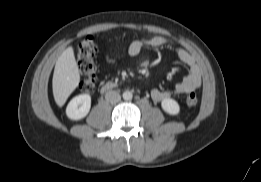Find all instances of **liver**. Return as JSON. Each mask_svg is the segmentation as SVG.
Returning <instances> with one entry per match:
<instances>
[{"label":"liver","mask_w":261,"mask_h":182,"mask_svg":"<svg viewBox=\"0 0 261 182\" xmlns=\"http://www.w3.org/2000/svg\"><path fill=\"white\" fill-rule=\"evenodd\" d=\"M80 82V73L74 50L66 48L56 61L52 79L53 96L56 104L62 107Z\"/></svg>","instance_id":"1"}]
</instances>
